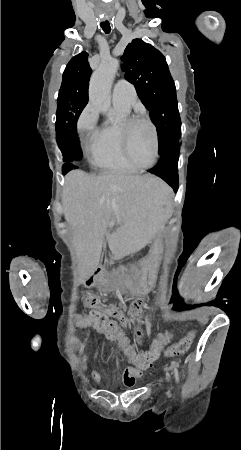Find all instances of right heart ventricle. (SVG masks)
<instances>
[{
  "instance_id": "right-heart-ventricle-1",
  "label": "right heart ventricle",
  "mask_w": 241,
  "mask_h": 450,
  "mask_svg": "<svg viewBox=\"0 0 241 450\" xmlns=\"http://www.w3.org/2000/svg\"><path fill=\"white\" fill-rule=\"evenodd\" d=\"M118 119L111 124L98 126L97 130H84L82 125V142L83 147L90 157L92 163L100 168L129 169L133 165L126 162V157L122 150L119 149L117 138L120 135L121 124L124 118L129 116L130 106L114 102ZM85 116H94L87 114ZM91 148L92 152L88 153L87 149Z\"/></svg>"
}]
</instances>
